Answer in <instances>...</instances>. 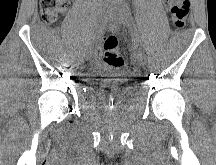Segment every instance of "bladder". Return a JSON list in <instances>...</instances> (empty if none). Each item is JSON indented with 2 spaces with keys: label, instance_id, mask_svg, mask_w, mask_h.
<instances>
[{
  "label": "bladder",
  "instance_id": "bladder-1",
  "mask_svg": "<svg viewBox=\"0 0 216 165\" xmlns=\"http://www.w3.org/2000/svg\"><path fill=\"white\" fill-rule=\"evenodd\" d=\"M89 85L92 89H85V94H97L100 102L117 103L127 100L134 94V90L127 89L132 86V76H91Z\"/></svg>",
  "mask_w": 216,
  "mask_h": 165
}]
</instances>
